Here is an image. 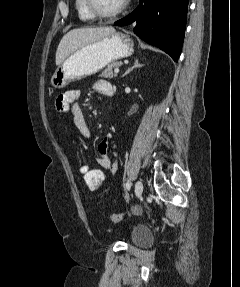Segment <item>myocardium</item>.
<instances>
[{"instance_id":"obj_1","label":"myocardium","mask_w":240,"mask_h":287,"mask_svg":"<svg viewBox=\"0 0 240 287\" xmlns=\"http://www.w3.org/2000/svg\"><path fill=\"white\" fill-rule=\"evenodd\" d=\"M128 1L129 0H123V2L112 11H103L98 6L97 0H86L90 13L100 19H110L118 16L126 9Z\"/></svg>"}]
</instances>
